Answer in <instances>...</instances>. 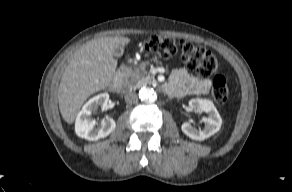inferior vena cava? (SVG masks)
Listing matches in <instances>:
<instances>
[{"label":"inferior vena cava","instance_id":"obj_1","mask_svg":"<svg viewBox=\"0 0 292 192\" xmlns=\"http://www.w3.org/2000/svg\"><path fill=\"white\" fill-rule=\"evenodd\" d=\"M124 98L125 101L129 104H134L138 101V96L134 91H127Z\"/></svg>","mask_w":292,"mask_h":192}]
</instances>
